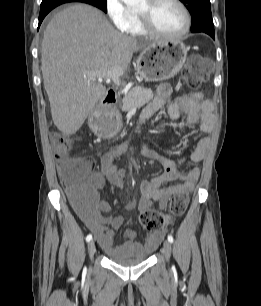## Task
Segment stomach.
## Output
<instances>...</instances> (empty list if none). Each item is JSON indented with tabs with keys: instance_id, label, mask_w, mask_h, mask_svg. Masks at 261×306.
I'll return each mask as SVG.
<instances>
[{
	"instance_id": "stomach-1",
	"label": "stomach",
	"mask_w": 261,
	"mask_h": 306,
	"mask_svg": "<svg viewBox=\"0 0 261 306\" xmlns=\"http://www.w3.org/2000/svg\"><path fill=\"white\" fill-rule=\"evenodd\" d=\"M188 49L179 40H164L146 47L137 60V71L147 82H158L174 77L184 66ZM89 126L101 137L113 134L119 121L105 124L104 115L94 111L90 114Z\"/></svg>"
}]
</instances>
